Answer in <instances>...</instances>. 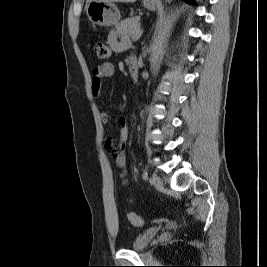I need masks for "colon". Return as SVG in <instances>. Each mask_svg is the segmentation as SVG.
Returning a JSON list of instances; mask_svg holds the SVG:
<instances>
[{
    "label": "colon",
    "mask_w": 267,
    "mask_h": 267,
    "mask_svg": "<svg viewBox=\"0 0 267 267\" xmlns=\"http://www.w3.org/2000/svg\"><path fill=\"white\" fill-rule=\"evenodd\" d=\"M94 48L97 56L101 59H107L112 54L111 48L102 42H96ZM128 220L135 227L142 225L141 218L134 212L128 213Z\"/></svg>",
    "instance_id": "1"
}]
</instances>
